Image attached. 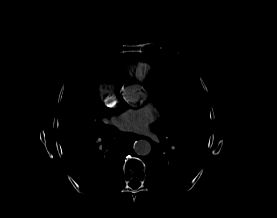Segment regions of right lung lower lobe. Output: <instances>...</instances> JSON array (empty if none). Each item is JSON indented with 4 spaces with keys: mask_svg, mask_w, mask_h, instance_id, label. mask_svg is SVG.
<instances>
[{
    "mask_svg": "<svg viewBox=\"0 0 277 218\" xmlns=\"http://www.w3.org/2000/svg\"><path fill=\"white\" fill-rule=\"evenodd\" d=\"M109 141L104 139L103 142ZM96 139L67 157V166L79 185L89 190H99L113 181L119 173L121 153L125 143L117 138L109 143V151L104 154L98 150ZM96 148V151H95ZM88 158V164L79 172L82 160Z\"/></svg>",
    "mask_w": 277,
    "mask_h": 218,
    "instance_id": "obj_1",
    "label": "right lung lower lobe"
}]
</instances>
